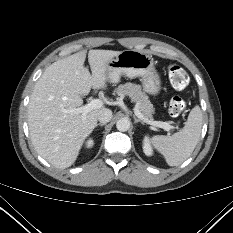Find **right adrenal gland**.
Here are the masks:
<instances>
[{
  "label": "right adrenal gland",
  "instance_id": "obj_1",
  "mask_svg": "<svg viewBox=\"0 0 233 233\" xmlns=\"http://www.w3.org/2000/svg\"><path fill=\"white\" fill-rule=\"evenodd\" d=\"M104 125H106V123H99V124L96 125V127L97 126H104Z\"/></svg>",
  "mask_w": 233,
  "mask_h": 233
}]
</instances>
